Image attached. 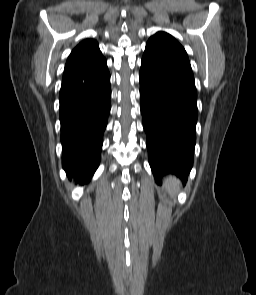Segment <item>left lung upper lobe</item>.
Instances as JSON below:
<instances>
[{"instance_id":"1","label":"left lung upper lobe","mask_w":256,"mask_h":295,"mask_svg":"<svg viewBox=\"0 0 256 295\" xmlns=\"http://www.w3.org/2000/svg\"><path fill=\"white\" fill-rule=\"evenodd\" d=\"M142 64L176 79L194 84L185 49L170 34L158 32L148 40Z\"/></svg>"}]
</instances>
